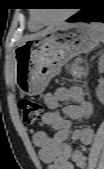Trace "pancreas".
<instances>
[{"mask_svg":"<svg viewBox=\"0 0 104 169\" xmlns=\"http://www.w3.org/2000/svg\"><path fill=\"white\" fill-rule=\"evenodd\" d=\"M81 59H76L74 63L70 66V73L75 78H81L87 74V69L81 66Z\"/></svg>","mask_w":104,"mask_h":169,"instance_id":"pancreas-1","label":"pancreas"}]
</instances>
